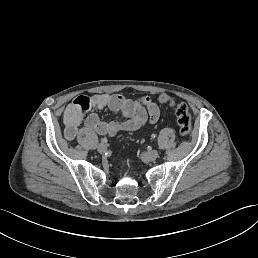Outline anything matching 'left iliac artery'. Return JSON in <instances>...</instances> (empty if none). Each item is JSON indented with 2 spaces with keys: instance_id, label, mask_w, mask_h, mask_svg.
Instances as JSON below:
<instances>
[{
  "instance_id": "1",
  "label": "left iliac artery",
  "mask_w": 258,
  "mask_h": 258,
  "mask_svg": "<svg viewBox=\"0 0 258 258\" xmlns=\"http://www.w3.org/2000/svg\"><path fill=\"white\" fill-rule=\"evenodd\" d=\"M156 137H157L156 134H152V135H151V138H153V139L156 138Z\"/></svg>"
}]
</instances>
